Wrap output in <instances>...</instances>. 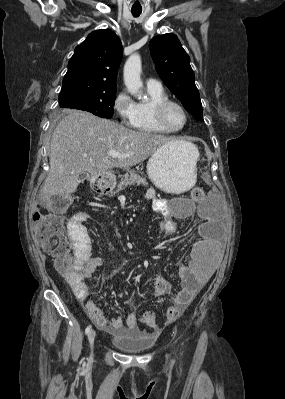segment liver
<instances>
[{
	"label": "liver",
	"instance_id": "liver-1",
	"mask_svg": "<svg viewBox=\"0 0 285 399\" xmlns=\"http://www.w3.org/2000/svg\"><path fill=\"white\" fill-rule=\"evenodd\" d=\"M163 135L135 131L84 111H71L57 125L50 145V170L43 195L68 198L79 176H103L111 168L130 167L172 142ZM110 151L126 157L113 158Z\"/></svg>",
	"mask_w": 285,
	"mask_h": 399
}]
</instances>
